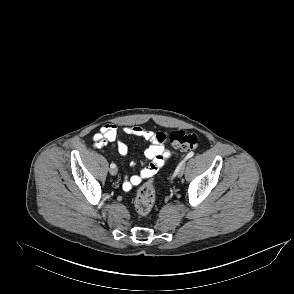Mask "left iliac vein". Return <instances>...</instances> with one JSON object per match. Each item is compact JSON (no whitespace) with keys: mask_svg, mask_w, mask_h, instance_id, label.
Instances as JSON below:
<instances>
[{"mask_svg":"<svg viewBox=\"0 0 294 294\" xmlns=\"http://www.w3.org/2000/svg\"><path fill=\"white\" fill-rule=\"evenodd\" d=\"M184 166H185V164H183L181 167H180V169H179V171L177 172V176L178 177H181L182 175H183V173H184Z\"/></svg>","mask_w":294,"mask_h":294,"instance_id":"4c4485c4","label":"left iliac vein"}]
</instances>
